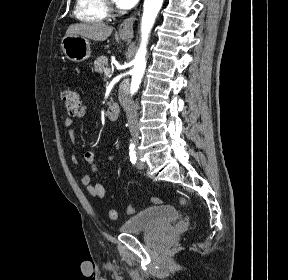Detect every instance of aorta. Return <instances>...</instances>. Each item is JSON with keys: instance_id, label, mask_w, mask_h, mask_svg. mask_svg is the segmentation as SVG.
Returning a JSON list of instances; mask_svg holds the SVG:
<instances>
[{"instance_id": "1", "label": "aorta", "mask_w": 288, "mask_h": 280, "mask_svg": "<svg viewBox=\"0 0 288 280\" xmlns=\"http://www.w3.org/2000/svg\"><path fill=\"white\" fill-rule=\"evenodd\" d=\"M162 4L163 0H144L143 15L141 20V43L133 61V69L131 71V95H134L139 89L142 77L144 75L149 34Z\"/></svg>"}]
</instances>
